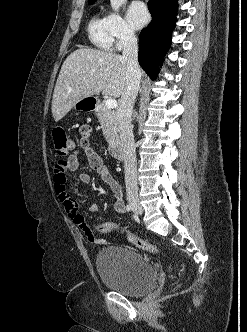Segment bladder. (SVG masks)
<instances>
[{
    "mask_svg": "<svg viewBox=\"0 0 247 332\" xmlns=\"http://www.w3.org/2000/svg\"><path fill=\"white\" fill-rule=\"evenodd\" d=\"M96 269L102 283L126 296H142L156 283V271L143 254L128 246H110L96 256Z\"/></svg>",
    "mask_w": 247,
    "mask_h": 332,
    "instance_id": "1",
    "label": "bladder"
}]
</instances>
